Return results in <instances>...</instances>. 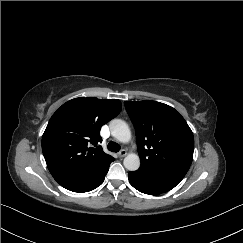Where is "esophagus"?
<instances>
[{"label": "esophagus", "instance_id": "34e87169", "mask_svg": "<svg viewBox=\"0 0 243 243\" xmlns=\"http://www.w3.org/2000/svg\"><path fill=\"white\" fill-rule=\"evenodd\" d=\"M127 155V151L125 149H122L118 152L119 157H125Z\"/></svg>", "mask_w": 243, "mask_h": 243}]
</instances>
